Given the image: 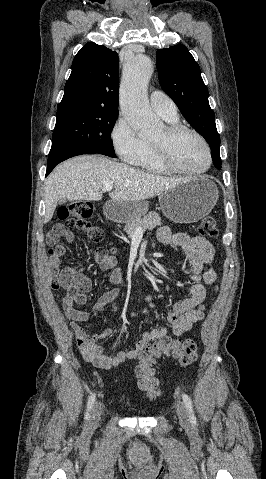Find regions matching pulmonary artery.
<instances>
[{"mask_svg": "<svg viewBox=\"0 0 266 479\" xmlns=\"http://www.w3.org/2000/svg\"><path fill=\"white\" fill-rule=\"evenodd\" d=\"M150 105L153 110L163 118H177V107L173 100L159 90L150 93Z\"/></svg>", "mask_w": 266, "mask_h": 479, "instance_id": "1", "label": "pulmonary artery"}]
</instances>
